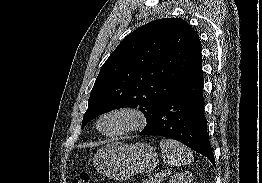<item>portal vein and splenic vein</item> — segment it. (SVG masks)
I'll list each match as a JSON object with an SVG mask.
<instances>
[{
	"label": "portal vein and splenic vein",
	"instance_id": "18ae733b",
	"mask_svg": "<svg viewBox=\"0 0 262 183\" xmlns=\"http://www.w3.org/2000/svg\"><path fill=\"white\" fill-rule=\"evenodd\" d=\"M163 177H165V174L163 173L161 176H159V178H163Z\"/></svg>",
	"mask_w": 262,
	"mask_h": 183
}]
</instances>
